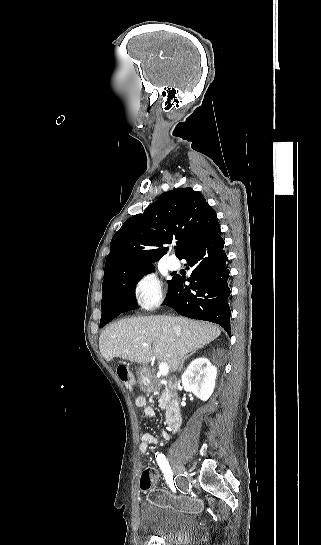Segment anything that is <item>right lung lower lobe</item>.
I'll return each instance as SVG.
<instances>
[{"label":"right lung lower lobe","mask_w":321,"mask_h":545,"mask_svg":"<svg viewBox=\"0 0 321 545\" xmlns=\"http://www.w3.org/2000/svg\"><path fill=\"white\" fill-rule=\"evenodd\" d=\"M223 248L220 226H217L183 258L193 267L191 277L187 279L190 285L185 286V278L175 275L163 304L183 316L217 323L231 335L228 305L230 271ZM137 308L135 296L111 295L102 305L104 325L122 312Z\"/></svg>","instance_id":"98d812e1"}]
</instances>
